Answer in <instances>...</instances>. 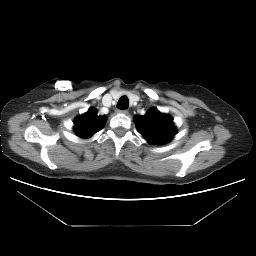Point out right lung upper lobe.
<instances>
[{"label":"right lung upper lobe","mask_w":256,"mask_h":256,"mask_svg":"<svg viewBox=\"0 0 256 256\" xmlns=\"http://www.w3.org/2000/svg\"><path fill=\"white\" fill-rule=\"evenodd\" d=\"M106 118L97 115V110L89 109L74 121V130L78 136L87 138L104 128Z\"/></svg>","instance_id":"cb5924a9"}]
</instances>
